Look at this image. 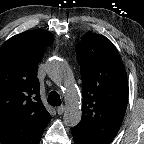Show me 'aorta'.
Here are the masks:
<instances>
[{
    "label": "aorta",
    "mask_w": 144,
    "mask_h": 144,
    "mask_svg": "<svg viewBox=\"0 0 144 144\" xmlns=\"http://www.w3.org/2000/svg\"><path fill=\"white\" fill-rule=\"evenodd\" d=\"M48 76L57 84L64 87L63 95L67 104V109L63 115L66 126L74 127L82 117L80 107L79 91L74 86L72 72L66 62L59 59H52L47 66Z\"/></svg>",
    "instance_id": "obj_1"
}]
</instances>
